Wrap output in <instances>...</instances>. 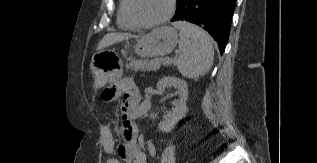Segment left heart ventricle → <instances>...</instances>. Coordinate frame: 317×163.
<instances>
[{
  "mask_svg": "<svg viewBox=\"0 0 317 163\" xmlns=\"http://www.w3.org/2000/svg\"><path fill=\"white\" fill-rule=\"evenodd\" d=\"M169 8V0H134V9L144 21H154L163 17Z\"/></svg>",
  "mask_w": 317,
  "mask_h": 163,
  "instance_id": "obj_1",
  "label": "left heart ventricle"
}]
</instances>
